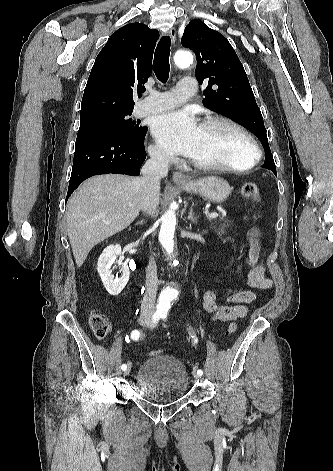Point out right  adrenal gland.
I'll use <instances>...</instances> for the list:
<instances>
[{
  "label": "right adrenal gland",
  "mask_w": 333,
  "mask_h": 471,
  "mask_svg": "<svg viewBox=\"0 0 333 471\" xmlns=\"http://www.w3.org/2000/svg\"><path fill=\"white\" fill-rule=\"evenodd\" d=\"M143 222H144V221L142 220V221L138 222V224H143Z\"/></svg>",
  "instance_id": "1"
}]
</instances>
